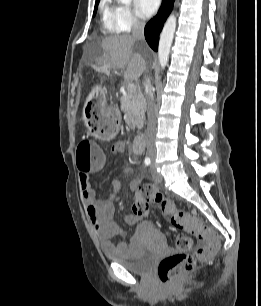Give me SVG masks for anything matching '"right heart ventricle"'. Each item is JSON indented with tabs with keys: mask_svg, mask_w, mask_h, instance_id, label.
Wrapping results in <instances>:
<instances>
[{
	"mask_svg": "<svg viewBox=\"0 0 261 306\" xmlns=\"http://www.w3.org/2000/svg\"><path fill=\"white\" fill-rule=\"evenodd\" d=\"M101 27L105 33L117 34L121 32L115 19V7L109 0H102L100 6Z\"/></svg>",
	"mask_w": 261,
	"mask_h": 306,
	"instance_id": "1",
	"label": "right heart ventricle"
}]
</instances>
